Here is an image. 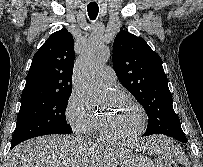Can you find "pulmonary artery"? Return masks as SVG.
<instances>
[{
	"label": "pulmonary artery",
	"mask_w": 203,
	"mask_h": 167,
	"mask_svg": "<svg viewBox=\"0 0 203 167\" xmlns=\"http://www.w3.org/2000/svg\"><path fill=\"white\" fill-rule=\"evenodd\" d=\"M96 82L103 89H111L116 82V74L112 67H101L96 73Z\"/></svg>",
	"instance_id": "pulmonary-artery-1"
}]
</instances>
